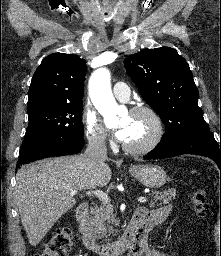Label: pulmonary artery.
Listing matches in <instances>:
<instances>
[{
	"label": "pulmonary artery",
	"mask_w": 221,
	"mask_h": 256,
	"mask_svg": "<svg viewBox=\"0 0 221 256\" xmlns=\"http://www.w3.org/2000/svg\"><path fill=\"white\" fill-rule=\"evenodd\" d=\"M113 94L120 101H128L130 97V88L124 82H117L113 86Z\"/></svg>",
	"instance_id": "pulmonary-artery-1"
}]
</instances>
